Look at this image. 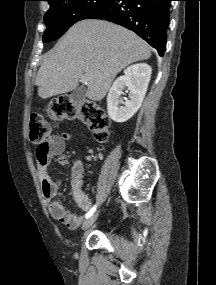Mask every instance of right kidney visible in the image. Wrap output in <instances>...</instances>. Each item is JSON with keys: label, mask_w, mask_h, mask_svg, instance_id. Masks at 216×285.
<instances>
[{"label": "right kidney", "mask_w": 216, "mask_h": 285, "mask_svg": "<svg viewBox=\"0 0 216 285\" xmlns=\"http://www.w3.org/2000/svg\"><path fill=\"white\" fill-rule=\"evenodd\" d=\"M151 67L146 63H138L127 67L124 75L117 78L107 96L109 118L122 123L129 120L140 108L151 78ZM130 91L129 100L123 102V90Z\"/></svg>", "instance_id": "ca27d5eb"}]
</instances>
